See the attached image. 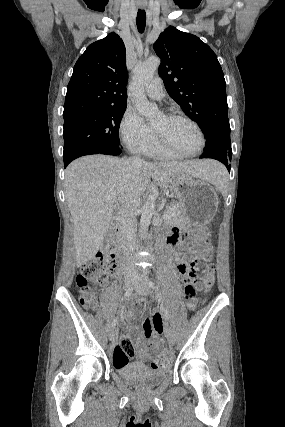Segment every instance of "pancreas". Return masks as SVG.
<instances>
[{"label": "pancreas", "instance_id": "cf45deb5", "mask_svg": "<svg viewBox=\"0 0 285 427\" xmlns=\"http://www.w3.org/2000/svg\"><path fill=\"white\" fill-rule=\"evenodd\" d=\"M165 213H167L170 218L165 219L167 224L176 225L183 221L182 214L178 205H169L166 207Z\"/></svg>", "mask_w": 285, "mask_h": 427}]
</instances>
